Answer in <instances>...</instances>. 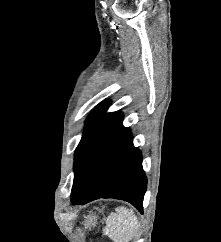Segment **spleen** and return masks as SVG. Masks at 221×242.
<instances>
[{
    "label": "spleen",
    "mask_w": 221,
    "mask_h": 242,
    "mask_svg": "<svg viewBox=\"0 0 221 242\" xmlns=\"http://www.w3.org/2000/svg\"><path fill=\"white\" fill-rule=\"evenodd\" d=\"M140 229L137 216L131 209L118 207L106 219L105 234L114 242H128Z\"/></svg>",
    "instance_id": "obj_1"
}]
</instances>
